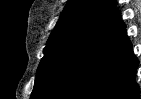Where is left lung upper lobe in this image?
Wrapping results in <instances>:
<instances>
[{
    "mask_svg": "<svg viewBox=\"0 0 141 99\" xmlns=\"http://www.w3.org/2000/svg\"><path fill=\"white\" fill-rule=\"evenodd\" d=\"M115 10L113 0H70L52 31L31 99H38L56 80L78 49Z\"/></svg>",
    "mask_w": 141,
    "mask_h": 99,
    "instance_id": "5c2ea615",
    "label": "left lung upper lobe"
}]
</instances>
